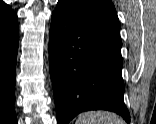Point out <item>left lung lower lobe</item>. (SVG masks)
Listing matches in <instances>:
<instances>
[{
  "instance_id": "obj_1",
  "label": "left lung lower lobe",
  "mask_w": 156,
  "mask_h": 124,
  "mask_svg": "<svg viewBox=\"0 0 156 124\" xmlns=\"http://www.w3.org/2000/svg\"><path fill=\"white\" fill-rule=\"evenodd\" d=\"M121 46L119 33L58 1L49 42L58 124L88 110L113 111L130 123L123 101Z\"/></svg>"
}]
</instances>
